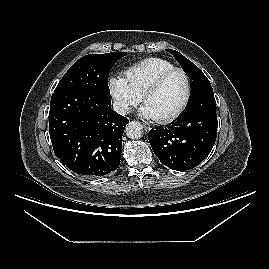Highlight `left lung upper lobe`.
<instances>
[{
  "label": "left lung upper lobe",
  "instance_id": "left-lung-upper-lobe-1",
  "mask_svg": "<svg viewBox=\"0 0 269 269\" xmlns=\"http://www.w3.org/2000/svg\"><path fill=\"white\" fill-rule=\"evenodd\" d=\"M174 58L180 63L182 69L188 75L191 80V97L190 100L194 99L197 95L204 92L205 90L212 89L211 84L204 73L190 60L184 57L181 53L174 50H167Z\"/></svg>",
  "mask_w": 269,
  "mask_h": 269
}]
</instances>
